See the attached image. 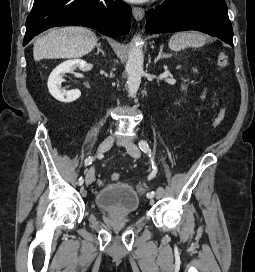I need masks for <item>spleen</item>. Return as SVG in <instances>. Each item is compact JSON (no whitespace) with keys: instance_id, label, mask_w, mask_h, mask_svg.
<instances>
[{"instance_id":"spleen-1","label":"spleen","mask_w":255,"mask_h":272,"mask_svg":"<svg viewBox=\"0 0 255 272\" xmlns=\"http://www.w3.org/2000/svg\"><path fill=\"white\" fill-rule=\"evenodd\" d=\"M206 43V37L200 33L180 32L174 34L169 40V47L180 51L188 47L198 48Z\"/></svg>"}]
</instances>
